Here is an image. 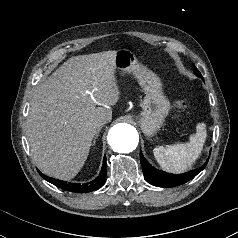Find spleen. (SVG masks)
<instances>
[{
    "mask_svg": "<svg viewBox=\"0 0 238 238\" xmlns=\"http://www.w3.org/2000/svg\"><path fill=\"white\" fill-rule=\"evenodd\" d=\"M197 133L190 137L188 143H178L167 147L157 146L153 149L156 161L168 172L186 171L197 160L207 136L206 125L199 123Z\"/></svg>",
    "mask_w": 238,
    "mask_h": 238,
    "instance_id": "1",
    "label": "spleen"
}]
</instances>
